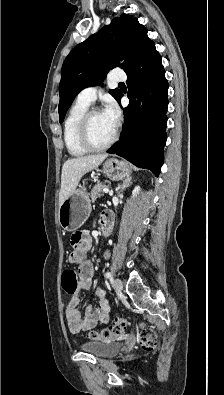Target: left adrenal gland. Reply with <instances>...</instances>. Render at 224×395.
<instances>
[{
	"label": "left adrenal gland",
	"instance_id": "obj_1",
	"mask_svg": "<svg viewBox=\"0 0 224 395\" xmlns=\"http://www.w3.org/2000/svg\"><path fill=\"white\" fill-rule=\"evenodd\" d=\"M131 180H132V177H127V178L123 181L122 185H120V186L118 187L119 191H123V190H125L127 187H129V186L132 184Z\"/></svg>",
	"mask_w": 224,
	"mask_h": 395
}]
</instances>
